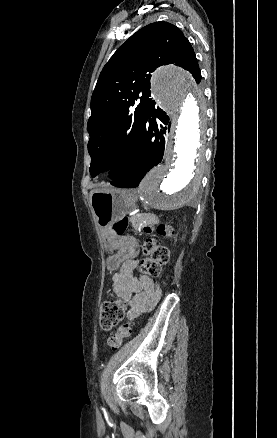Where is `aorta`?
Instances as JSON below:
<instances>
[{"label": "aorta", "instance_id": "762f6f07", "mask_svg": "<svg viewBox=\"0 0 277 438\" xmlns=\"http://www.w3.org/2000/svg\"><path fill=\"white\" fill-rule=\"evenodd\" d=\"M151 85L157 104L170 116L171 132L164 162L146 175L140 192L147 205L172 210L189 202L201 183L205 108L182 69L159 68Z\"/></svg>", "mask_w": 277, "mask_h": 438}]
</instances>
